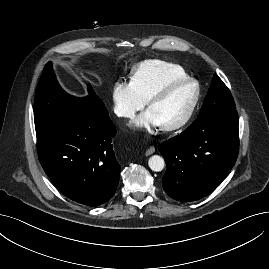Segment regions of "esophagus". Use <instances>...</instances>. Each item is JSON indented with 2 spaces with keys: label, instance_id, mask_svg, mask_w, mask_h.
<instances>
[{
  "label": "esophagus",
  "instance_id": "esophagus-1",
  "mask_svg": "<svg viewBox=\"0 0 269 269\" xmlns=\"http://www.w3.org/2000/svg\"><path fill=\"white\" fill-rule=\"evenodd\" d=\"M155 152V148L153 146L149 147L145 153L146 156L151 155Z\"/></svg>",
  "mask_w": 269,
  "mask_h": 269
}]
</instances>
